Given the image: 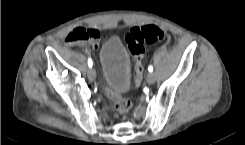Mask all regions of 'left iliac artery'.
I'll return each instance as SVG.
<instances>
[{"label": "left iliac artery", "instance_id": "44dca946", "mask_svg": "<svg viewBox=\"0 0 245 145\" xmlns=\"http://www.w3.org/2000/svg\"><path fill=\"white\" fill-rule=\"evenodd\" d=\"M148 71H149V72H152V71H153V66L150 65V66L148 67Z\"/></svg>", "mask_w": 245, "mask_h": 145}]
</instances>
